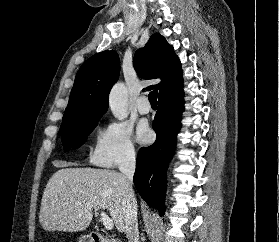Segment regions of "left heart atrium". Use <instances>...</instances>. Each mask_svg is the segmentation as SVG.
Returning a JSON list of instances; mask_svg holds the SVG:
<instances>
[{
    "mask_svg": "<svg viewBox=\"0 0 279 242\" xmlns=\"http://www.w3.org/2000/svg\"><path fill=\"white\" fill-rule=\"evenodd\" d=\"M151 137V131L146 121H141L137 127V138L140 142H147Z\"/></svg>",
    "mask_w": 279,
    "mask_h": 242,
    "instance_id": "left-heart-atrium-1",
    "label": "left heart atrium"
}]
</instances>
